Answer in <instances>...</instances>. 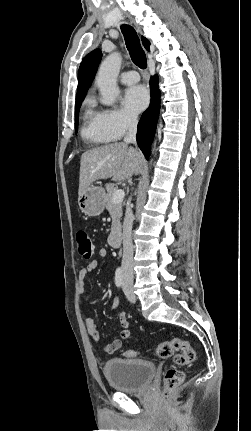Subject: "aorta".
<instances>
[{"instance_id": "762f6f07", "label": "aorta", "mask_w": 251, "mask_h": 431, "mask_svg": "<svg viewBox=\"0 0 251 431\" xmlns=\"http://www.w3.org/2000/svg\"><path fill=\"white\" fill-rule=\"evenodd\" d=\"M121 63L122 57L120 53L114 52L108 55L100 65L96 77V84L102 95L101 102L104 105H113L119 94L116 81Z\"/></svg>"}]
</instances>
